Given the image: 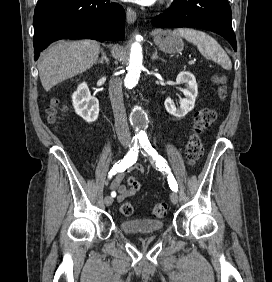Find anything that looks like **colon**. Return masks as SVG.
<instances>
[{
	"label": "colon",
	"mask_w": 272,
	"mask_h": 282,
	"mask_svg": "<svg viewBox=\"0 0 272 282\" xmlns=\"http://www.w3.org/2000/svg\"><path fill=\"white\" fill-rule=\"evenodd\" d=\"M224 77L218 76L216 78V83L218 85V94L219 96L224 95L223 84ZM60 114L58 109L52 108L49 111V115L52 120H55ZM216 118V114L213 110L204 108L198 111L195 115L194 126L192 133L189 136V139L186 144V159L190 165H195L203 154V147L201 143L200 133L203 129L210 126ZM129 183L136 182L135 178H129ZM120 211L126 216H130L134 213V208L130 202L123 200L120 205ZM167 212V204L164 202H158L153 206L152 214L156 218H162Z\"/></svg>",
	"instance_id": "1"
}]
</instances>
